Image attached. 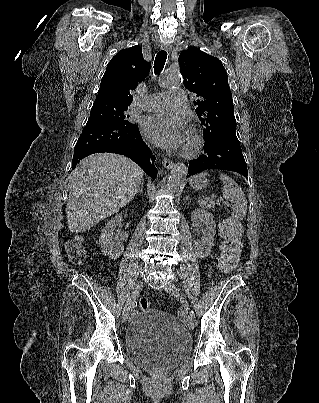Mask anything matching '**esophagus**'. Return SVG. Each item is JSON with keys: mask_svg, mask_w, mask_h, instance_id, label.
Returning a JSON list of instances; mask_svg holds the SVG:
<instances>
[{"mask_svg": "<svg viewBox=\"0 0 319 403\" xmlns=\"http://www.w3.org/2000/svg\"><path fill=\"white\" fill-rule=\"evenodd\" d=\"M161 48H162V50L170 52L171 49H172V46L170 44H163L161 46ZM162 163H163V166L166 169H171L174 166V162L172 160H170V159H167V158H164Z\"/></svg>", "mask_w": 319, "mask_h": 403, "instance_id": "esophagus-1", "label": "esophagus"}]
</instances>
